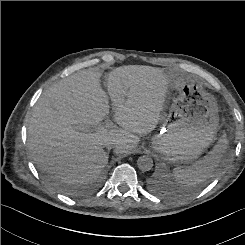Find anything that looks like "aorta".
<instances>
[{"label":"aorta","mask_w":245,"mask_h":245,"mask_svg":"<svg viewBox=\"0 0 245 245\" xmlns=\"http://www.w3.org/2000/svg\"><path fill=\"white\" fill-rule=\"evenodd\" d=\"M137 166L143 172L150 171L153 167V159L148 155L140 156L137 159Z\"/></svg>","instance_id":"obj_1"}]
</instances>
